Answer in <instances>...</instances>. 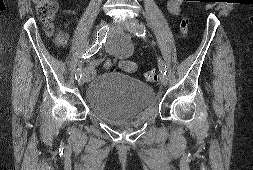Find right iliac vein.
<instances>
[{
  "label": "right iliac vein",
  "mask_w": 253,
  "mask_h": 170,
  "mask_svg": "<svg viewBox=\"0 0 253 170\" xmlns=\"http://www.w3.org/2000/svg\"><path fill=\"white\" fill-rule=\"evenodd\" d=\"M106 23H107L106 20L103 19L100 23V26H104ZM90 77L91 72L88 69H85L82 78L78 82L79 86H82L85 82L89 81Z\"/></svg>",
  "instance_id": "obj_1"
}]
</instances>
